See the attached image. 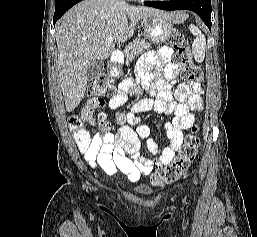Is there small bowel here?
<instances>
[{
    "mask_svg": "<svg viewBox=\"0 0 257 237\" xmlns=\"http://www.w3.org/2000/svg\"><path fill=\"white\" fill-rule=\"evenodd\" d=\"M171 57L172 51L168 47L149 51L138 64L137 76L125 78L119 83L117 92L108 103L111 109L122 107L130 94L141 90L148 91L154 97L139 99L129 111L117 113L115 122L119 125V131L116 135H95L87 148H82L74 136L80 152L93 170L102 169L109 176L121 173L131 182H137L142 176L149 175L155 167L166 165L175 157L183 143L184 133L195 123V111L203 107V92L198 84L183 82L172 93L170 85L179 68L171 62ZM151 68L161 70L162 77L155 78ZM151 111L173 115L172 120L163 125L169 140L164 148H159L149 139V127L136 117L137 113ZM81 117L91 125L95 124L89 106L82 109ZM129 125H136V128ZM142 140H146L152 157L140 153Z\"/></svg>",
    "mask_w": 257,
    "mask_h": 237,
    "instance_id": "obj_1",
    "label": "small bowel"
}]
</instances>
